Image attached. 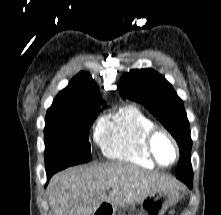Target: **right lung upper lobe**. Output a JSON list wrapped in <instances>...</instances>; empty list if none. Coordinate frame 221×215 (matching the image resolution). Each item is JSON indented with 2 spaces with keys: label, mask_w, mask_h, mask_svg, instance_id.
Returning a JSON list of instances; mask_svg holds the SVG:
<instances>
[{
  "label": "right lung upper lobe",
  "mask_w": 221,
  "mask_h": 215,
  "mask_svg": "<svg viewBox=\"0 0 221 215\" xmlns=\"http://www.w3.org/2000/svg\"><path fill=\"white\" fill-rule=\"evenodd\" d=\"M101 96L92 77L80 72L54 99L52 106H66L74 104L100 105Z\"/></svg>",
  "instance_id": "obj_1"
}]
</instances>
